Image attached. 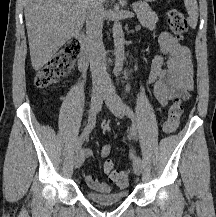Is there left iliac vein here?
I'll use <instances>...</instances> for the list:
<instances>
[{"label": "left iliac vein", "mask_w": 216, "mask_h": 217, "mask_svg": "<svg viewBox=\"0 0 216 217\" xmlns=\"http://www.w3.org/2000/svg\"><path fill=\"white\" fill-rule=\"evenodd\" d=\"M105 103L111 110V112L118 118H123L125 115L124 106L121 99L115 93H107L105 96ZM133 170L136 175H140L142 172V163L140 159L133 161Z\"/></svg>", "instance_id": "left-iliac-vein-1"}]
</instances>
